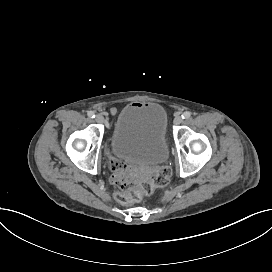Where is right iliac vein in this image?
<instances>
[{"instance_id":"obj_1","label":"right iliac vein","mask_w":272,"mask_h":272,"mask_svg":"<svg viewBox=\"0 0 272 272\" xmlns=\"http://www.w3.org/2000/svg\"><path fill=\"white\" fill-rule=\"evenodd\" d=\"M95 120H96L97 123H100V124L104 123V117L101 116V115H97L95 117Z\"/></svg>"}]
</instances>
